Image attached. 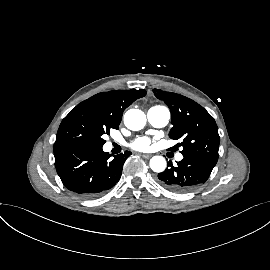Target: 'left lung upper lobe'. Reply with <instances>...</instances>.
<instances>
[{
	"label": "left lung upper lobe",
	"mask_w": 270,
	"mask_h": 270,
	"mask_svg": "<svg viewBox=\"0 0 270 270\" xmlns=\"http://www.w3.org/2000/svg\"><path fill=\"white\" fill-rule=\"evenodd\" d=\"M155 96L169 107L173 127L169 136L181 140L182 154L196 155L217 163L220 137L213 117L198 103L180 94L153 89Z\"/></svg>",
	"instance_id": "1"
}]
</instances>
